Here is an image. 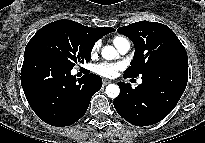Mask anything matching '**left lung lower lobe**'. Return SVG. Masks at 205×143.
I'll use <instances>...</instances> for the list:
<instances>
[{
    "mask_svg": "<svg viewBox=\"0 0 205 143\" xmlns=\"http://www.w3.org/2000/svg\"><path fill=\"white\" fill-rule=\"evenodd\" d=\"M125 77V76H124ZM188 79V62L156 65L142 75V84L132 89L118 83L119 96L113 101L117 113L136 126H148L164 119L181 98Z\"/></svg>",
    "mask_w": 205,
    "mask_h": 143,
    "instance_id": "obj_1",
    "label": "left lung lower lobe"
}]
</instances>
